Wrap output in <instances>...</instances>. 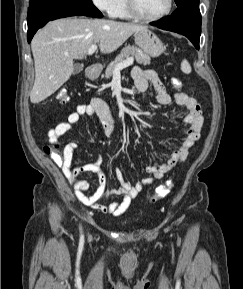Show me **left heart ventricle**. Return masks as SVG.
Masks as SVG:
<instances>
[{"instance_id":"obj_1","label":"left heart ventricle","mask_w":243,"mask_h":289,"mask_svg":"<svg viewBox=\"0 0 243 289\" xmlns=\"http://www.w3.org/2000/svg\"><path fill=\"white\" fill-rule=\"evenodd\" d=\"M141 13L146 16H156L167 9L168 0H136Z\"/></svg>"}]
</instances>
